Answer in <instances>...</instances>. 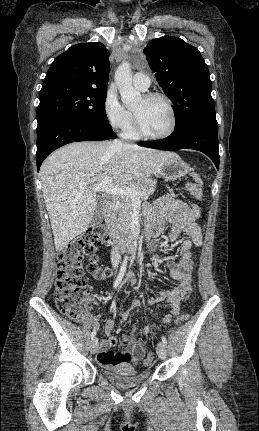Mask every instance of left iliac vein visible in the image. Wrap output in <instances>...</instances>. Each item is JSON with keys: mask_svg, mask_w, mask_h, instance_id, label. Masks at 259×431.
Instances as JSON below:
<instances>
[{"mask_svg": "<svg viewBox=\"0 0 259 431\" xmlns=\"http://www.w3.org/2000/svg\"><path fill=\"white\" fill-rule=\"evenodd\" d=\"M157 354L158 356L164 360L167 356V349H166V345L163 342H159L157 345Z\"/></svg>", "mask_w": 259, "mask_h": 431, "instance_id": "4c4485c4", "label": "left iliac vein"}]
</instances>
